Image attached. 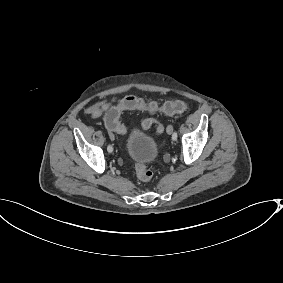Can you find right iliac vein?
Wrapping results in <instances>:
<instances>
[{
	"label": "right iliac vein",
	"mask_w": 283,
	"mask_h": 283,
	"mask_svg": "<svg viewBox=\"0 0 283 283\" xmlns=\"http://www.w3.org/2000/svg\"><path fill=\"white\" fill-rule=\"evenodd\" d=\"M111 138H112V140H114V136L113 135H111Z\"/></svg>",
	"instance_id": "63e3f726"
}]
</instances>
